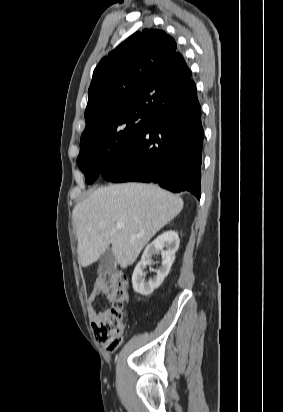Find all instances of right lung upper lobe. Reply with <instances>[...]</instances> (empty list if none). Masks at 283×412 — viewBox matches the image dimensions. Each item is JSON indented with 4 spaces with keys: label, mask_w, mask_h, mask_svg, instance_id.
I'll list each match as a JSON object with an SVG mask.
<instances>
[{
    "label": "right lung upper lobe",
    "mask_w": 283,
    "mask_h": 412,
    "mask_svg": "<svg viewBox=\"0 0 283 412\" xmlns=\"http://www.w3.org/2000/svg\"><path fill=\"white\" fill-rule=\"evenodd\" d=\"M190 78L191 71L177 51L176 42L166 32L144 29L134 33L95 68L81 137L99 130L136 104L164 102Z\"/></svg>",
    "instance_id": "cb5924a9"
}]
</instances>
